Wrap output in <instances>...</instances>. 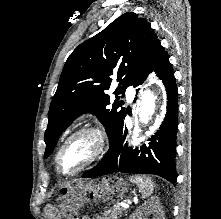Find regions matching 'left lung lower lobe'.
I'll return each instance as SVG.
<instances>
[{
	"label": "left lung lower lobe",
	"mask_w": 221,
	"mask_h": 219,
	"mask_svg": "<svg viewBox=\"0 0 221 219\" xmlns=\"http://www.w3.org/2000/svg\"><path fill=\"white\" fill-rule=\"evenodd\" d=\"M155 71L163 81L167 92V112L159 130L149 139L148 145L141 149L128 148L124 144L127 129L124 117L110 139V148L101 162L85 173L83 178L99 177L116 172L132 174H154L175 185V148L178 121L177 86L169 58L160 45L141 82L150 72ZM140 84V85H141Z\"/></svg>",
	"instance_id": "obj_1"
}]
</instances>
